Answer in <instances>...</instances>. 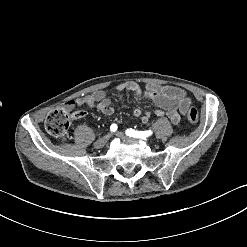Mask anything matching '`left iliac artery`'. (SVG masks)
Wrapping results in <instances>:
<instances>
[{"mask_svg": "<svg viewBox=\"0 0 247 247\" xmlns=\"http://www.w3.org/2000/svg\"><path fill=\"white\" fill-rule=\"evenodd\" d=\"M152 131H137L133 129H127L126 130V135L129 137H134V138H140V139H146L148 136L152 135Z\"/></svg>", "mask_w": 247, "mask_h": 247, "instance_id": "44dca946", "label": "left iliac artery"}]
</instances>
